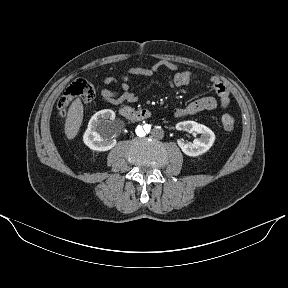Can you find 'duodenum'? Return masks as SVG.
Here are the masks:
<instances>
[{
    "mask_svg": "<svg viewBox=\"0 0 288 288\" xmlns=\"http://www.w3.org/2000/svg\"><path fill=\"white\" fill-rule=\"evenodd\" d=\"M120 113L124 118L131 121H142L150 118L152 115L149 109H134L129 106L121 108Z\"/></svg>",
    "mask_w": 288,
    "mask_h": 288,
    "instance_id": "duodenum-1",
    "label": "duodenum"
}]
</instances>
